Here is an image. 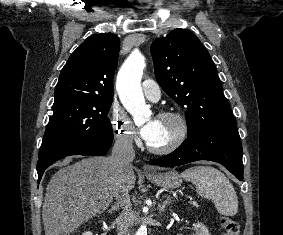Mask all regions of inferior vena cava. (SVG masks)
<instances>
[{
  "label": "inferior vena cava",
  "instance_id": "602c4592",
  "mask_svg": "<svg viewBox=\"0 0 283 235\" xmlns=\"http://www.w3.org/2000/svg\"><path fill=\"white\" fill-rule=\"evenodd\" d=\"M135 158L132 139L127 136H118L115 140L110 156V162L115 171L114 197L122 206V212L117 218L118 235H128L132 220L129 190L126 178L132 170L131 162Z\"/></svg>",
  "mask_w": 283,
  "mask_h": 235
}]
</instances>
